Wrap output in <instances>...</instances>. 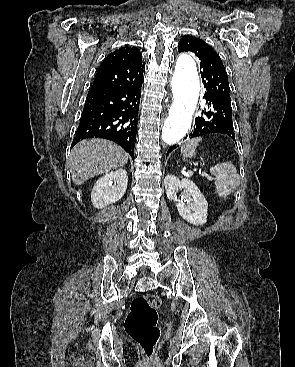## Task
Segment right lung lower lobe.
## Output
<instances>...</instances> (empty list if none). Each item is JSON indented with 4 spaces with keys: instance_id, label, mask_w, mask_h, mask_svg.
<instances>
[{
    "instance_id": "98d812e1",
    "label": "right lung lower lobe",
    "mask_w": 295,
    "mask_h": 367,
    "mask_svg": "<svg viewBox=\"0 0 295 367\" xmlns=\"http://www.w3.org/2000/svg\"><path fill=\"white\" fill-rule=\"evenodd\" d=\"M141 85L105 89L90 88L73 147L86 138H105L134 157Z\"/></svg>"
}]
</instances>
